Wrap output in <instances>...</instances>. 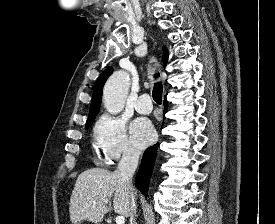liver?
<instances>
[{
  "label": "liver",
  "instance_id": "obj_1",
  "mask_svg": "<svg viewBox=\"0 0 275 224\" xmlns=\"http://www.w3.org/2000/svg\"><path fill=\"white\" fill-rule=\"evenodd\" d=\"M112 198L115 213L129 217V192L117 171L93 168L82 172L70 198L71 222H101L109 211L105 201Z\"/></svg>",
  "mask_w": 275,
  "mask_h": 224
}]
</instances>
